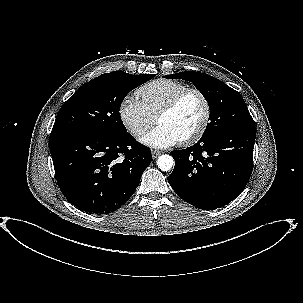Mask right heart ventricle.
<instances>
[{"instance_id":"e07e8e85","label":"right heart ventricle","mask_w":303,"mask_h":303,"mask_svg":"<svg viewBox=\"0 0 303 303\" xmlns=\"http://www.w3.org/2000/svg\"><path fill=\"white\" fill-rule=\"evenodd\" d=\"M182 82L170 79H157L141 86L137 90L142 103L154 117L178 93L187 89Z\"/></svg>"}]
</instances>
